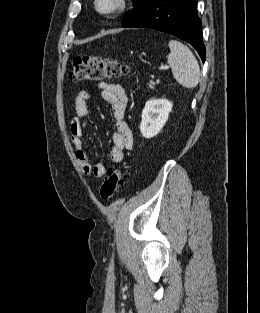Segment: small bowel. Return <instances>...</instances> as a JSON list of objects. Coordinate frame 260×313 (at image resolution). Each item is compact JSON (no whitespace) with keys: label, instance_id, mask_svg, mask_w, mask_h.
<instances>
[{"label":"small bowel","instance_id":"c3829d8e","mask_svg":"<svg viewBox=\"0 0 260 313\" xmlns=\"http://www.w3.org/2000/svg\"><path fill=\"white\" fill-rule=\"evenodd\" d=\"M101 97L108 102L116 120V131L112 133V147L110 157L112 162L119 164L124 161V152L133 148V135L124 120L128 103V96L124 88L116 83L102 82L99 84ZM89 92L82 90L75 98L74 117L70 122L71 140L75 151V157L87 175L95 178H103L108 168L102 164H92L84 147L83 120L88 116Z\"/></svg>","mask_w":260,"mask_h":313}]
</instances>
